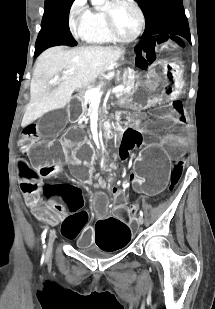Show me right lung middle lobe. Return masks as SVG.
<instances>
[{"label":"right lung middle lobe","instance_id":"1","mask_svg":"<svg viewBox=\"0 0 215 309\" xmlns=\"http://www.w3.org/2000/svg\"><path fill=\"white\" fill-rule=\"evenodd\" d=\"M74 0H45L41 31L35 45V56L55 45L75 46L69 30V11Z\"/></svg>","mask_w":215,"mask_h":309}]
</instances>
